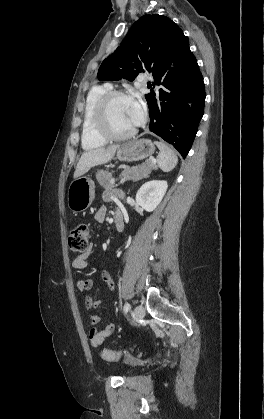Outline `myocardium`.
<instances>
[{
    "mask_svg": "<svg viewBox=\"0 0 264 419\" xmlns=\"http://www.w3.org/2000/svg\"><path fill=\"white\" fill-rule=\"evenodd\" d=\"M116 98H130V95L122 90L108 91L99 99L95 108V128L106 140H124L131 137L136 132V128L121 133L113 130L109 118V107Z\"/></svg>",
    "mask_w": 264,
    "mask_h": 419,
    "instance_id": "1",
    "label": "myocardium"
}]
</instances>
